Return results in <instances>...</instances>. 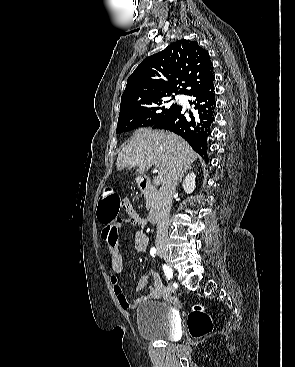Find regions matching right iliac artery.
<instances>
[{"label":"right iliac artery","mask_w":295,"mask_h":367,"mask_svg":"<svg viewBox=\"0 0 295 367\" xmlns=\"http://www.w3.org/2000/svg\"><path fill=\"white\" fill-rule=\"evenodd\" d=\"M150 254H151L152 256H155V254H156V248H155V247H152V248H151V250H150ZM163 270H164V273H165L166 278H167V279H171V278H172V276H173V273H172L171 268H170L169 266H167V265H164V266H163Z\"/></svg>","instance_id":"82829eb1"}]
</instances>
